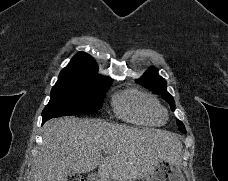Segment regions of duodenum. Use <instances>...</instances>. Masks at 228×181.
<instances>
[{
    "mask_svg": "<svg viewBox=\"0 0 228 181\" xmlns=\"http://www.w3.org/2000/svg\"><path fill=\"white\" fill-rule=\"evenodd\" d=\"M88 181H99V179L97 178L96 174H91L90 178L88 179Z\"/></svg>",
    "mask_w": 228,
    "mask_h": 181,
    "instance_id": "410a0bca",
    "label": "duodenum"
}]
</instances>
